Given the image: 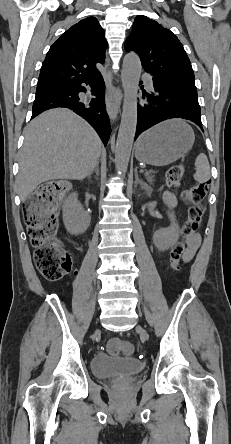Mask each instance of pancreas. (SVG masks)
I'll use <instances>...</instances> for the list:
<instances>
[{"mask_svg":"<svg viewBox=\"0 0 231 444\" xmlns=\"http://www.w3.org/2000/svg\"><path fill=\"white\" fill-rule=\"evenodd\" d=\"M154 173H155V171H153V170L145 171V173H144L145 178L149 182H153L154 181V175H153Z\"/></svg>","mask_w":231,"mask_h":444,"instance_id":"obj_1","label":"pancreas"}]
</instances>
